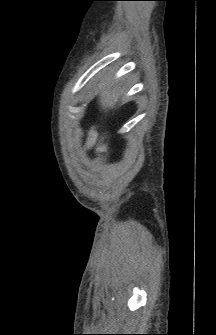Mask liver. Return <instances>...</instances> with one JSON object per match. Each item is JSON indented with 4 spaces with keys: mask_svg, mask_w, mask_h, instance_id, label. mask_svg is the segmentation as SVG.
<instances>
[{
    "mask_svg": "<svg viewBox=\"0 0 216 335\" xmlns=\"http://www.w3.org/2000/svg\"><path fill=\"white\" fill-rule=\"evenodd\" d=\"M122 95L121 87H114L110 83H101L99 85V103L103 110L106 112L109 109H114L116 104Z\"/></svg>",
    "mask_w": 216,
    "mask_h": 335,
    "instance_id": "6515ba94",
    "label": "liver"
}]
</instances>
